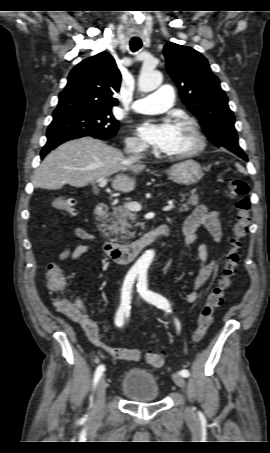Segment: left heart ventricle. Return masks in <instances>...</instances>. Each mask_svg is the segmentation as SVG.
Instances as JSON below:
<instances>
[{
  "label": "left heart ventricle",
  "instance_id": "b2bd125f",
  "mask_svg": "<svg viewBox=\"0 0 270 453\" xmlns=\"http://www.w3.org/2000/svg\"><path fill=\"white\" fill-rule=\"evenodd\" d=\"M195 139L187 126L176 124L175 135L170 145L163 150L164 153L175 154L193 148Z\"/></svg>",
  "mask_w": 270,
  "mask_h": 453
}]
</instances>
